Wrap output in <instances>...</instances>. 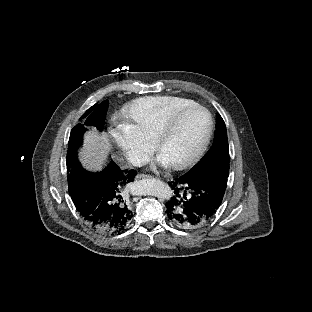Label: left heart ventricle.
Instances as JSON below:
<instances>
[{"label":"left heart ventricle","mask_w":312,"mask_h":312,"mask_svg":"<svg viewBox=\"0 0 312 312\" xmlns=\"http://www.w3.org/2000/svg\"><path fill=\"white\" fill-rule=\"evenodd\" d=\"M207 118L200 111L186 113L164 143V152L171 159H180L187 148L200 147L206 138Z\"/></svg>","instance_id":"obj_1"}]
</instances>
